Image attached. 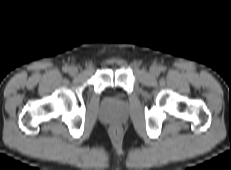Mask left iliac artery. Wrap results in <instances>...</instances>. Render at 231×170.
<instances>
[{
    "label": "left iliac artery",
    "instance_id": "obj_1",
    "mask_svg": "<svg viewBox=\"0 0 231 170\" xmlns=\"http://www.w3.org/2000/svg\"><path fill=\"white\" fill-rule=\"evenodd\" d=\"M160 70H161V71H165V67H163V66L160 67Z\"/></svg>",
    "mask_w": 231,
    "mask_h": 170
}]
</instances>
